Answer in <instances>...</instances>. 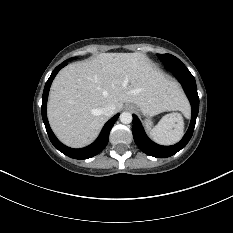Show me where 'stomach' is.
I'll use <instances>...</instances> for the list:
<instances>
[{"label": "stomach", "mask_w": 233, "mask_h": 233, "mask_svg": "<svg viewBox=\"0 0 233 233\" xmlns=\"http://www.w3.org/2000/svg\"><path fill=\"white\" fill-rule=\"evenodd\" d=\"M141 112H142V111H141ZM142 113H143V112H142ZM143 114H144V113H143ZM144 116H146V119H145V121H144L145 127L149 130V129H151V127H152V125H153V122H152L150 116L145 115V114H144Z\"/></svg>", "instance_id": "0dacf381"}]
</instances>
